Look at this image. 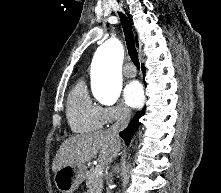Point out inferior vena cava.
Masks as SVG:
<instances>
[{
    "label": "inferior vena cava",
    "instance_id": "1",
    "mask_svg": "<svg viewBox=\"0 0 221 193\" xmlns=\"http://www.w3.org/2000/svg\"><path fill=\"white\" fill-rule=\"evenodd\" d=\"M130 117L131 111L128 108L121 107L119 109L117 120L109 129L115 138H119V132L128 126ZM107 193H111V191L109 190Z\"/></svg>",
    "mask_w": 221,
    "mask_h": 193
}]
</instances>
